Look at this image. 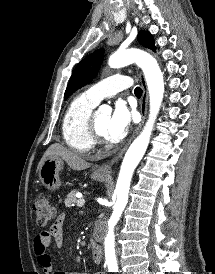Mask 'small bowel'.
<instances>
[{
	"mask_svg": "<svg viewBox=\"0 0 215 274\" xmlns=\"http://www.w3.org/2000/svg\"><path fill=\"white\" fill-rule=\"evenodd\" d=\"M64 215H60L51 228L47 231H42L35 236L34 239V252L37 256L38 262L43 269L44 274H84L80 272H66V271H54L52 260L50 255L47 253V247L53 240L57 248L63 246V225ZM95 274H102L97 272Z\"/></svg>",
	"mask_w": 215,
	"mask_h": 274,
	"instance_id": "obj_1",
	"label": "small bowel"
}]
</instances>
